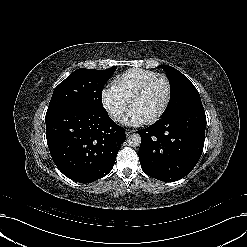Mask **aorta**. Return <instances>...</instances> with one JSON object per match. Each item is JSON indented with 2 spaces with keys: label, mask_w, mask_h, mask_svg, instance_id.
<instances>
[{
  "label": "aorta",
  "mask_w": 247,
  "mask_h": 247,
  "mask_svg": "<svg viewBox=\"0 0 247 247\" xmlns=\"http://www.w3.org/2000/svg\"><path fill=\"white\" fill-rule=\"evenodd\" d=\"M127 142L132 147H138L141 144V137L140 135L133 133L128 137Z\"/></svg>",
  "instance_id": "aorta-1"
}]
</instances>
